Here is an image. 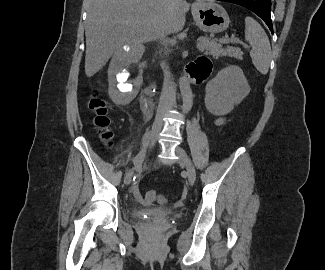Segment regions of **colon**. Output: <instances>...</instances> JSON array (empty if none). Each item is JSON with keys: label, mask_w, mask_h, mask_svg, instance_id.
I'll return each mask as SVG.
<instances>
[{"label": "colon", "mask_w": 325, "mask_h": 270, "mask_svg": "<svg viewBox=\"0 0 325 270\" xmlns=\"http://www.w3.org/2000/svg\"><path fill=\"white\" fill-rule=\"evenodd\" d=\"M90 109L95 113L94 124L99 129L104 141L110 143L112 133L109 130V118L107 116V108L105 102L97 95L92 96ZM145 200L148 203H164L166 199L154 190H149L145 194Z\"/></svg>", "instance_id": "5ec220e1"}]
</instances>
